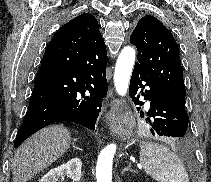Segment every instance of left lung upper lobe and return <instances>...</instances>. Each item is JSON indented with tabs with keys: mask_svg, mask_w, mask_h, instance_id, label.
<instances>
[{
	"mask_svg": "<svg viewBox=\"0 0 211 182\" xmlns=\"http://www.w3.org/2000/svg\"><path fill=\"white\" fill-rule=\"evenodd\" d=\"M130 42L138 50L139 67L164 93L185 107L186 90L178 45L157 18L147 15L138 21Z\"/></svg>",
	"mask_w": 211,
	"mask_h": 182,
	"instance_id": "1",
	"label": "left lung upper lobe"
}]
</instances>
